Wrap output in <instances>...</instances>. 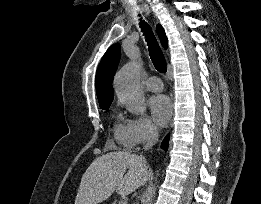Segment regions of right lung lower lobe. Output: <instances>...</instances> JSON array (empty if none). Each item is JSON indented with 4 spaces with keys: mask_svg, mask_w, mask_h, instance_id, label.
I'll return each instance as SVG.
<instances>
[{
    "mask_svg": "<svg viewBox=\"0 0 261 204\" xmlns=\"http://www.w3.org/2000/svg\"><path fill=\"white\" fill-rule=\"evenodd\" d=\"M168 143H169V135H167V136L165 137V139L163 140L162 145H161V148L166 151L167 148H168Z\"/></svg>",
    "mask_w": 261,
    "mask_h": 204,
    "instance_id": "obj_1",
    "label": "right lung lower lobe"
}]
</instances>
